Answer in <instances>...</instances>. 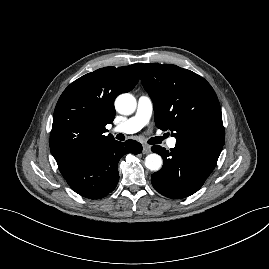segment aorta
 Returning a JSON list of instances; mask_svg holds the SVG:
<instances>
[{"label": "aorta", "mask_w": 269, "mask_h": 269, "mask_svg": "<svg viewBox=\"0 0 269 269\" xmlns=\"http://www.w3.org/2000/svg\"><path fill=\"white\" fill-rule=\"evenodd\" d=\"M137 106L136 99L129 93L119 95L115 100L116 111L123 115L132 114ZM163 164L162 158L156 153H152L146 156L145 166L151 171H158Z\"/></svg>", "instance_id": "obj_1"}]
</instances>
